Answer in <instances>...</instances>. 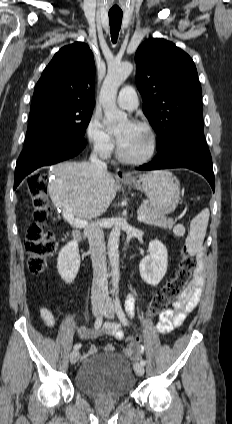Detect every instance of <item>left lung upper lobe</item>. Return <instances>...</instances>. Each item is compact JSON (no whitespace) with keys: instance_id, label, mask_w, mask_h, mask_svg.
I'll return each mask as SVG.
<instances>
[{"instance_id":"left-lung-upper-lobe-1","label":"left lung upper lobe","mask_w":232,"mask_h":424,"mask_svg":"<svg viewBox=\"0 0 232 424\" xmlns=\"http://www.w3.org/2000/svg\"><path fill=\"white\" fill-rule=\"evenodd\" d=\"M135 61L142 109L158 136L157 148L179 129L202 123L201 85L188 54L170 41L153 38L139 46Z\"/></svg>"}]
</instances>
